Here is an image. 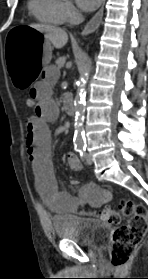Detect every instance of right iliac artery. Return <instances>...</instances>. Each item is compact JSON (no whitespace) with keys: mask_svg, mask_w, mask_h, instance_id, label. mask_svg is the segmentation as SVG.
I'll return each instance as SVG.
<instances>
[{"mask_svg":"<svg viewBox=\"0 0 148 279\" xmlns=\"http://www.w3.org/2000/svg\"><path fill=\"white\" fill-rule=\"evenodd\" d=\"M82 149H83V147H80V146H76V147H75V151H76V152H80Z\"/></svg>","mask_w":148,"mask_h":279,"instance_id":"obj_1","label":"right iliac artery"}]
</instances>
